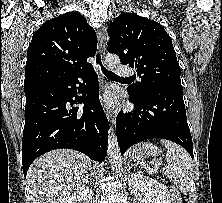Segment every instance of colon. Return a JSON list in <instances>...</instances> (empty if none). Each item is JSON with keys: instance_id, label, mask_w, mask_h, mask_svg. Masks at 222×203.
<instances>
[{"instance_id": "colon-1", "label": "colon", "mask_w": 222, "mask_h": 203, "mask_svg": "<svg viewBox=\"0 0 222 203\" xmlns=\"http://www.w3.org/2000/svg\"><path fill=\"white\" fill-rule=\"evenodd\" d=\"M172 203H181V196L176 189H172Z\"/></svg>"}]
</instances>
